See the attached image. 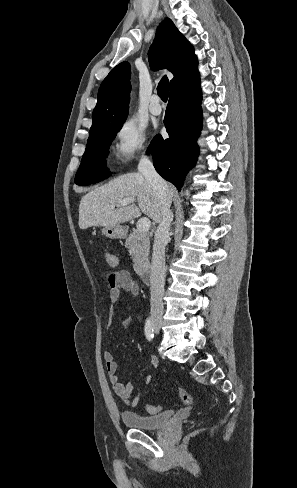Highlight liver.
<instances>
[{
  "label": "liver",
  "mask_w": 297,
  "mask_h": 488,
  "mask_svg": "<svg viewBox=\"0 0 297 488\" xmlns=\"http://www.w3.org/2000/svg\"><path fill=\"white\" fill-rule=\"evenodd\" d=\"M168 191L171 195L173 188L168 186ZM125 198H137L138 206L131 204L110 208ZM141 212L160 223L163 216L161 198L142 173H127L82 197L79 227L85 230L92 226H116L139 217Z\"/></svg>",
  "instance_id": "1"
}]
</instances>
